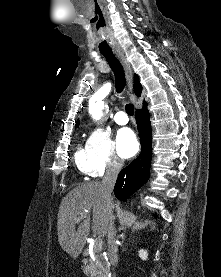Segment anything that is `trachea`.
I'll return each instance as SVG.
<instances>
[{
    "mask_svg": "<svg viewBox=\"0 0 221 277\" xmlns=\"http://www.w3.org/2000/svg\"><path fill=\"white\" fill-rule=\"evenodd\" d=\"M101 54L106 58L108 64L110 65L114 75H115V87L117 93H121L125 87V73L122 68V65L115 57L112 51H101ZM126 113L130 116L134 114V106L132 104H126L125 106Z\"/></svg>",
    "mask_w": 221,
    "mask_h": 277,
    "instance_id": "1",
    "label": "trachea"
}]
</instances>
